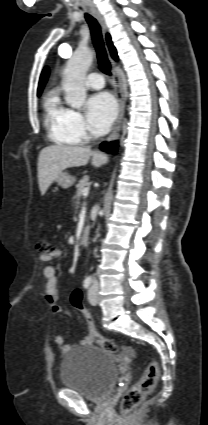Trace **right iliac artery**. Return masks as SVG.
<instances>
[{"instance_id":"right-iliac-artery-1","label":"right iliac artery","mask_w":208,"mask_h":425,"mask_svg":"<svg viewBox=\"0 0 208 425\" xmlns=\"http://www.w3.org/2000/svg\"><path fill=\"white\" fill-rule=\"evenodd\" d=\"M91 283H92V279L91 278L85 279L84 282H83L84 288L88 289L90 287Z\"/></svg>"}]
</instances>
